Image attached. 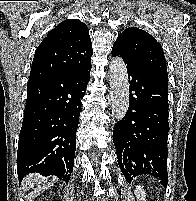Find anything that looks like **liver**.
<instances>
[{
	"label": "liver",
	"mask_w": 196,
	"mask_h": 201,
	"mask_svg": "<svg viewBox=\"0 0 196 201\" xmlns=\"http://www.w3.org/2000/svg\"><path fill=\"white\" fill-rule=\"evenodd\" d=\"M38 175L37 174H31V175H28L26 176L24 179H23V186L22 188L24 190H28L30 187H32L36 182H38Z\"/></svg>",
	"instance_id": "obj_1"
}]
</instances>
